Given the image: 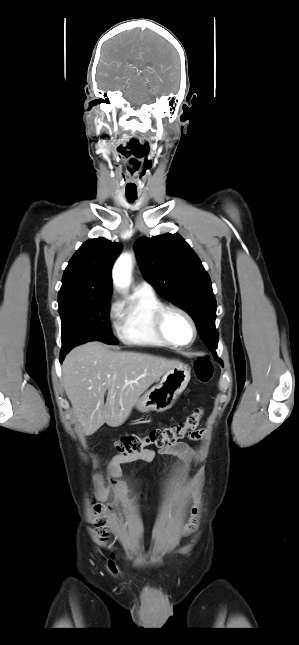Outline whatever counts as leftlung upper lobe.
<instances>
[{"mask_svg":"<svg viewBox=\"0 0 299 645\" xmlns=\"http://www.w3.org/2000/svg\"><path fill=\"white\" fill-rule=\"evenodd\" d=\"M134 248L145 279L164 299L190 314L207 348L222 365L215 352L216 300L198 256L178 234L142 237Z\"/></svg>","mask_w":299,"mask_h":645,"instance_id":"obj_1","label":"left lung upper lobe"}]
</instances>
